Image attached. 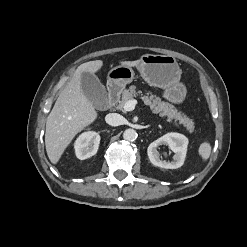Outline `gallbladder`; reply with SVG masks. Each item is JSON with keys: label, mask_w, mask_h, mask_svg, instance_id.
Returning <instances> with one entry per match:
<instances>
[{"label": "gallbladder", "mask_w": 247, "mask_h": 247, "mask_svg": "<svg viewBox=\"0 0 247 247\" xmlns=\"http://www.w3.org/2000/svg\"><path fill=\"white\" fill-rule=\"evenodd\" d=\"M81 88L87 99L97 109H103L107 101V92L98 77L89 72L81 75Z\"/></svg>", "instance_id": "1"}]
</instances>
